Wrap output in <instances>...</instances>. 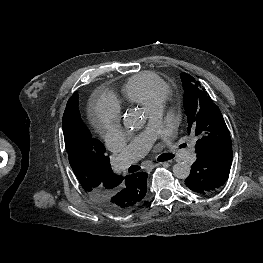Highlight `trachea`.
Listing matches in <instances>:
<instances>
[{
    "instance_id": "3493384b",
    "label": "trachea",
    "mask_w": 263,
    "mask_h": 263,
    "mask_svg": "<svg viewBox=\"0 0 263 263\" xmlns=\"http://www.w3.org/2000/svg\"><path fill=\"white\" fill-rule=\"evenodd\" d=\"M174 156H175L174 154L165 153V154H162V155H160V156L158 157V161H160V162L167 161V160H170V159L174 158ZM140 169H141L140 166L134 165V166H131V167L129 168V172H130V173L136 172V171H138V170H140Z\"/></svg>"
}]
</instances>
